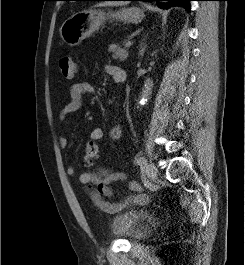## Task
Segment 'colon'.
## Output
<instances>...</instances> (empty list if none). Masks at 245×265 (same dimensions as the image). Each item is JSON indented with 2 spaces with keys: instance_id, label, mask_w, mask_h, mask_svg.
Wrapping results in <instances>:
<instances>
[{
  "instance_id": "colon-1",
  "label": "colon",
  "mask_w": 245,
  "mask_h": 265,
  "mask_svg": "<svg viewBox=\"0 0 245 265\" xmlns=\"http://www.w3.org/2000/svg\"><path fill=\"white\" fill-rule=\"evenodd\" d=\"M59 69L62 76L66 79H72L76 73V64L73 58L69 55H63L59 59ZM99 153L98 144L88 142L85 146L83 162L86 166H91L96 161Z\"/></svg>"
}]
</instances>
